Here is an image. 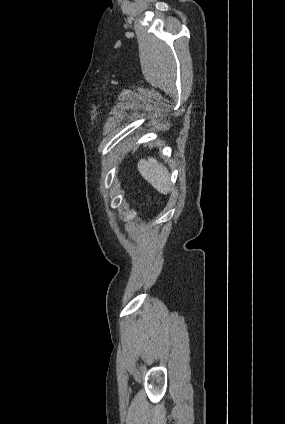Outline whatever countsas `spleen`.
Returning a JSON list of instances; mask_svg holds the SVG:
<instances>
[{
    "label": "spleen",
    "instance_id": "spleen-1",
    "mask_svg": "<svg viewBox=\"0 0 285 424\" xmlns=\"http://www.w3.org/2000/svg\"><path fill=\"white\" fill-rule=\"evenodd\" d=\"M141 176L147 180L158 192L167 195L171 189L168 169L155 158L141 159L138 162Z\"/></svg>",
    "mask_w": 285,
    "mask_h": 424
}]
</instances>
